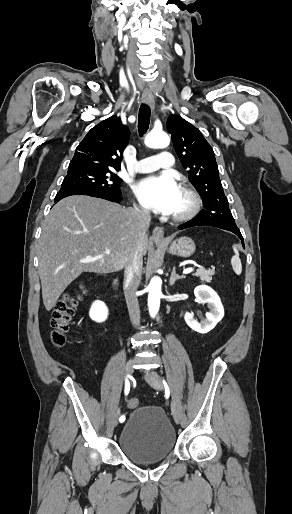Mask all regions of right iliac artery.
Returning a JSON list of instances; mask_svg holds the SVG:
<instances>
[{"label":"right iliac artery","instance_id":"82829eb1","mask_svg":"<svg viewBox=\"0 0 292 514\" xmlns=\"http://www.w3.org/2000/svg\"><path fill=\"white\" fill-rule=\"evenodd\" d=\"M129 390H130V383L128 381V379L126 378V381H125V395H128L129 393ZM119 421L122 423L125 421V416L122 415L120 418H119Z\"/></svg>","mask_w":292,"mask_h":514}]
</instances>
